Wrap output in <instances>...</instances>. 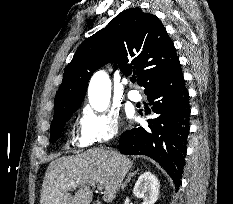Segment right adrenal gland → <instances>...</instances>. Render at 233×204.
<instances>
[{"mask_svg":"<svg viewBox=\"0 0 233 204\" xmlns=\"http://www.w3.org/2000/svg\"><path fill=\"white\" fill-rule=\"evenodd\" d=\"M137 171H138V169H137ZM137 171L132 172V173L129 174L128 178L126 179V181L121 186L122 190H124V188L126 187L127 183L130 182L131 178L137 173Z\"/></svg>","mask_w":233,"mask_h":204,"instance_id":"right-adrenal-gland-1","label":"right adrenal gland"}]
</instances>
